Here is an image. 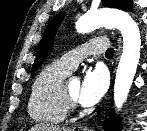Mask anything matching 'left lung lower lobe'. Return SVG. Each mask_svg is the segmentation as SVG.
<instances>
[{
    "mask_svg": "<svg viewBox=\"0 0 147 131\" xmlns=\"http://www.w3.org/2000/svg\"><path fill=\"white\" fill-rule=\"evenodd\" d=\"M119 124L120 121L117 117H114L112 119V122L110 123L109 120L106 121V124L104 126L105 131H118L119 130Z\"/></svg>",
    "mask_w": 147,
    "mask_h": 131,
    "instance_id": "obj_1",
    "label": "left lung lower lobe"
}]
</instances>
